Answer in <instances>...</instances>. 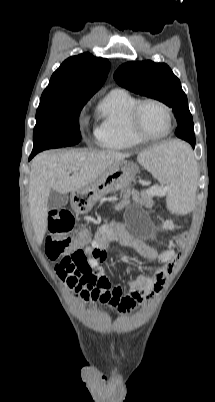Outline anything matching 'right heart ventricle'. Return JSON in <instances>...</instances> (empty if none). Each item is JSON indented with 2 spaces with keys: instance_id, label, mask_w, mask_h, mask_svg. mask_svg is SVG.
<instances>
[{
  "instance_id": "e07e8e85",
  "label": "right heart ventricle",
  "mask_w": 215,
  "mask_h": 402,
  "mask_svg": "<svg viewBox=\"0 0 215 402\" xmlns=\"http://www.w3.org/2000/svg\"><path fill=\"white\" fill-rule=\"evenodd\" d=\"M138 101L123 89L110 91L97 108L98 122L94 129L97 144L105 149L125 150L142 144L130 128L129 115Z\"/></svg>"
}]
</instances>
